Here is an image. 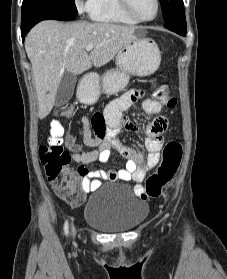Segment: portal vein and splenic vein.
<instances>
[{
    "label": "portal vein and splenic vein",
    "mask_w": 227,
    "mask_h": 279,
    "mask_svg": "<svg viewBox=\"0 0 227 279\" xmlns=\"http://www.w3.org/2000/svg\"><path fill=\"white\" fill-rule=\"evenodd\" d=\"M93 48H94V45L89 44V45L86 46V51L89 52V51H91Z\"/></svg>",
    "instance_id": "18ae733b"
}]
</instances>
